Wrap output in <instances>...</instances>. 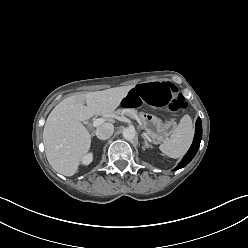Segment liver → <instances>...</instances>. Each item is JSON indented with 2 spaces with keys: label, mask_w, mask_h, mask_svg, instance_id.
Listing matches in <instances>:
<instances>
[{
  "label": "liver",
  "mask_w": 248,
  "mask_h": 248,
  "mask_svg": "<svg viewBox=\"0 0 248 248\" xmlns=\"http://www.w3.org/2000/svg\"><path fill=\"white\" fill-rule=\"evenodd\" d=\"M133 86L78 92L62 100L49 114L44 130L45 154L51 167L73 176L91 146V134L82 124L94 115L112 113ZM86 103V106H85Z\"/></svg>",
  "instance_id": "6515ba94"
}]
</instances>
